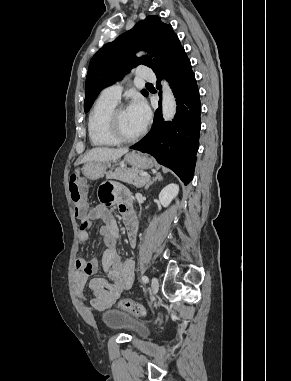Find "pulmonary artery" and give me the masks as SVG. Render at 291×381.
<instances>
[{
	"label": "pulmonary artery",
	"instance_id": "1",
	"mask_svg": "<svg viewBox=\"0 0 291 381\" xmlns=\"http://www.w3.org/2000/svg\"><path fill=\"white\" fill-rule=\"evenodd\" d=\"M137 74L140 79L145 80V81H150L153 82L156 80V76L152 69L146 65H141L138 66L137 68ZM121 92H122V85L120 83L111 85L107 88H105L101 96L104 98L112 99L115 101H118L121 97Z\"/></svg>",
	"mask_w": 291,
	"mask_h": 381
}]
</instances>
